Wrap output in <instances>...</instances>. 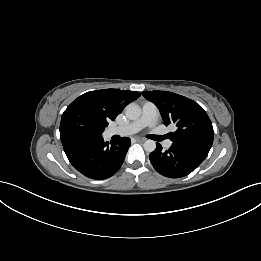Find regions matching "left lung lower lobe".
<instances>
[{
  "instance_id": "1",
  "label": "left lung lower lobe",
  "mask_w": 261,
  "mask_h": 261,
  "mask_svg": "<svg viewBox=\"0 0 261 261\" xmlns=\"http://www.w3.org/2000/svg\"><path fill=\"white\" fill-rule=\"evenodd\" d=\"M150 154L155 170L169 178H180L190 174L206 158L210 148L195 144L173 143L169 150L163 151L157 143Z\"/></svg>"
}]
</instances>
